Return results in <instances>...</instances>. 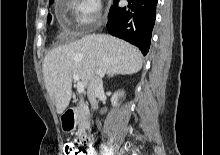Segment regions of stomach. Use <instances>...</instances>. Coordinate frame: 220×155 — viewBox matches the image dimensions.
<instances>
[{
	"instance_id": "1",
	"label": "stomach",
	"mask_w": 220,
	"mask_h": 155,
	"mask_svg": "<svg viewBox=\"0 0 220 155\" xmlns=\"http://www.w3.org/2000/svg\"><path fill=\"white\" fill-rule=\"evenodd\" d=\"M62 128L65 130V131H72L73 130V126H62Z\"/></svg>"
}]
</instances>
